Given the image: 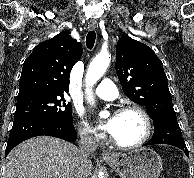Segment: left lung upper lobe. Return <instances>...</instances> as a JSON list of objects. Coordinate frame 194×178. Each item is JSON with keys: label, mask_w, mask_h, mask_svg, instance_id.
<instances>
[{"label": "left lung upper lobe", "mask_w": 194, "mask_h": 178, "mask_svg": "<svg viewBox=\"0 0 194 178\" xmlns=\"http://www.w3.org/2000/svg\"><path fill=\"white\" fill-rule=\"evenodd\" d=\"M115 67L123 92L153 120L175 114L163 64L147 45L124 33L117 43Z\"/></svg>", "instance_id": "left-lung-upper-lobe-1"}]
</instances>
